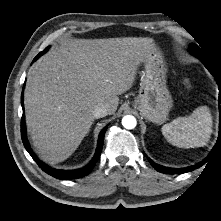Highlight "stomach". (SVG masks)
I'll list each match as a JSON object with an SVG mask.
<instances>
[{
  "mask_svg": "<svg viewBox=\"0 0 221 221\" xmlns=\"http://www.w3.org/2000/svg\"><path fill=\"white\" fill-rule=\"evenodd\" d=\"M144 68L139 94L133 105L147 121L162 124L173 106V100L166 85V63L157 48L145 58Z\"/></svg>",
  "mask_w": 221,
  "mask_h": 221,
  "instance_id": "0dacf381",
  "label": "stomach"
}]
</instances>
